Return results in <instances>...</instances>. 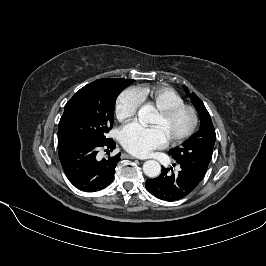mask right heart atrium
Instances as JSON below:
<instances>
[{
	"mask_svg": "<svg viewBox=\"0 0 266 266\" xmlns=\"http://www.w3.org/2000/svg\"><path fill=\"white\" fill-rule=\"evenodd\" d=\"M143 102V98L136 88L124 90L116 101V116L119 120H126L136 115Z\"/></svg>",
	"mask_w": 266,
	"mask_h": 266,
	"instance_id": "d8ad5b80",
	"label": "right heart atrium"
}]
</instances>
